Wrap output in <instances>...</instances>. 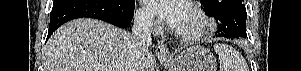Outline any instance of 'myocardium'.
Instances as JSON below:
<instances>
[{
	"instance_id": "1",
	"label": "myocardium",
	"mask_w": 301,
	"mask_h": 71,
	"mask_svg": "<svg viewBox=\"0 0 301 71\" xmlns=\"http://www.w3.org/2000/svg\"><path fill=\"white\" fill-rule=\"evenodd\" d=\"M186 8L191 12L196 20V24L188 29L176 30L175 34L186 40L196 39L203 34H205L209 29V20L206 14L194 4L187 2L185 4Z\"/></svg>"
}]
</instances>
